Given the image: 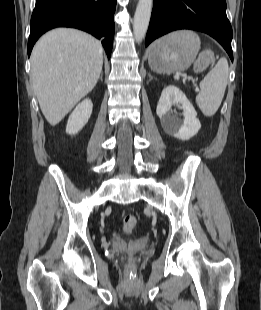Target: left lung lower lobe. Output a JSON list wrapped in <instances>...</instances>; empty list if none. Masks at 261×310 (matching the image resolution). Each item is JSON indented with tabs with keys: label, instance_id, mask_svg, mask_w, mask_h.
I'll return each instance as SVG.
<instances>
[{
	"label": "left lung lower lobe",
	"instance_id": "left-lung-lower-lobe-1",
	"mask_svg": "<svg viewBox=\"0 0 261 310\" xmlns=\"http://www.w3.org/2000/svg\"><path fill=\"white\" fill-rule=\"evenodd\" d=\"M178 29L209 34L224 47L233 61V32L226 16L225 0H154L145 46Z\"/></svg>",
	"mask_w": 261,
	"mask_h": 310
}]
</instances>
